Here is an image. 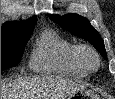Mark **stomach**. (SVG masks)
<instances>
[{
    "mask_svg": "<svg viewBox=\"0 0 115 99\" xmlns=\"http://www.w3.org/2000/svg\"><path fill=\"white\" fill-rule=\"evenodd\" d=\"M67 99H98V96L93 91L83 88L69 94Z\"/></svg>",
    "mask_w": 115,
    "mask_h": 99,
    "instance_id": "stomach-1",
    "label": "stomach"
}]
</instances>
